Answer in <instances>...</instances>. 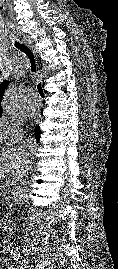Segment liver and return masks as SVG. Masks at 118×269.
I'll return each instance as SVG.
<instances>
[{"instance_id": "1", "label": "liver", "mask_w": 118, "mask_h": 269, "mask_svg": "<svg viewBox=\"0 0 118 269\" xmlns=\"http://www.w3.org/2000/svg\"><path fill=\"white\" fill-rule=\"evenodd\" d=\"M6 137H4V140ZM0 143L2 139L0 138ZM9 145V143H7ZM26 158L25 147H12L2 149L0 152V179L4 178L9 172L16 170L17 174H22L25 170L24 161Z\"/></svg>"}]
</instances>
